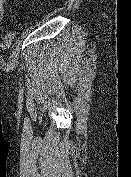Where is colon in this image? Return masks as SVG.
<instances>
[{
    "instance_id": "1",
    "label": "colon",
    "mask_w": 131,
    "mask_h": 177,
    "mask_svg": "<svg viewBox=\"0 0 131 177\" xmlns=\"http://www.w3.org/2000/svg\"><path fill=\"white\" fill-rule=\"evenodd\" d=\"M17 34H18L17 29L15 28L9 29L1 39L0 50H6L7 48H9L14 42Z\"/></svg>"
}]
</instances>
